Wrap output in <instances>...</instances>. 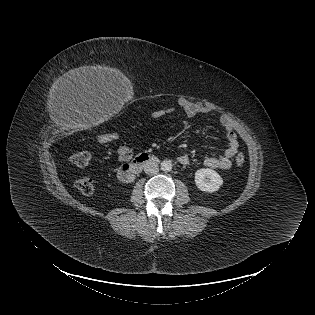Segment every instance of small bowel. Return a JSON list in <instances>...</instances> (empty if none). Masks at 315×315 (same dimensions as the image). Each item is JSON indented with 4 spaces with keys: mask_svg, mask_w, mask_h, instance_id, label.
<instances>
[{
    "mask_svg": "<svg viewBox=\"0 0 315 315\" xmlns=\"http://www.w3.org/2000/svg\"><path fill=\"white\" fill-rule=\"evenodd\" d=\"M178 106L183 110L190 118L198 119L202 116H207L212 112L210 107L201 106L193 103L187 99H180L178 101ZM175 111L174 107L159 109L151 114V119L159 120ZM219 122L225 130L227 148L224 153L220 156H210L204 161L205 166L212 169L227 170L232 165V159L238 152V139L234 131L232 121L230 117L226 114H221L219 116ZM133 155V149L130 145L123 143L117 149L118 159L122 162H127L131 159ZM178 161L181 164H188L189 157L187 155H181L178 157Z\"/></svg>",
    "mask_w": 315,
    "mask_h": 315,
    "instance_id": "obj_1",
    "label": "small bowel"
}]
</instances>
